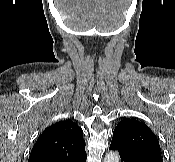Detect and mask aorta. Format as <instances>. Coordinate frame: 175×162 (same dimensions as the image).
<instances>
[{"mask_svg":"<svg viewBox=\"0 0 175 162\" xmlns=\"http://www.w3.org/2000/svg\"><path fill=\"white\" fill-rule=\"evenodd\" d=\"M104 162H120L119 153L116 151H110L106 154Z\"/></svg>","mask_w":175,"mask_h":162,"instance_id":"obj_1","label":"aorta"}]
</instances>
